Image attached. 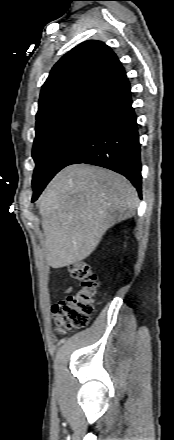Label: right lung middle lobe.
<instances>
[{
    "instance_id": "right-lung-middle-lobe-1",
    "label": "right lung middle lobe",
    "mask_w": 174,
    "mask_h": 440,
    "mask_svg": "<svg viewBox=\"0 0 174 440\" xmlns=\"http://www.w3.org/2000/svg\"><path fill=\"white\" fill-rule=\"evenodd\" d=\"M97 95L83 96L36 122L33 189L47 184L75 156L94 116Z\"/></svg>"
}]
</instances>
